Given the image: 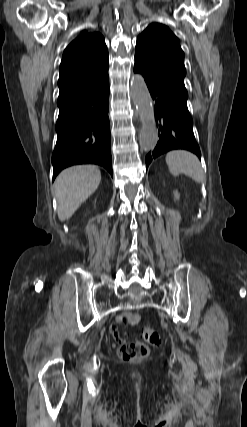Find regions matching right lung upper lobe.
<instances>
[{
  "mask_svg": "<svg viewBox=\"0 0 247 427\" xmlns=\"http://www.w3.org/2000/svg\"><path fill=\"white\" fill-rule=\"evenodd\" d=\"M108 50L100 33L83 31L64 50L59 95L89 86L108 75Z\"/></svg>",
  "mask_w": 247,
  "mask_h": 427,
  "instance_id": "cb5924a9",
  "label": "right lung upper lobe"
}]
</instances>
